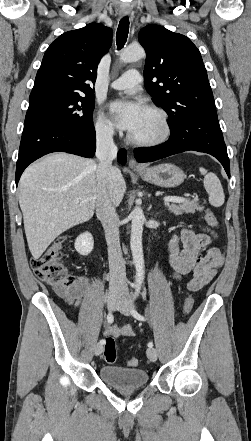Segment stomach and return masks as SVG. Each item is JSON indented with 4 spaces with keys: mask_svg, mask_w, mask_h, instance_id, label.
<instances>
[{
    "mask_svg": "<svg viewBox=\"0 0 251 441\" xmlns=\"http://www.w3.org/2000/svg\"><path fill=\"white\" fill-rule=\"evenodd\" d=\"M136 172L144 181L166 188L179 186L186 177L179 167L170 163L156 165L143 170H136Z\"/></svg>",
    "mask_w": 251,
    "mask_h": 441,
    "instance_id": "0dacf381",
    "label": "stomach"
}]
</instances>
